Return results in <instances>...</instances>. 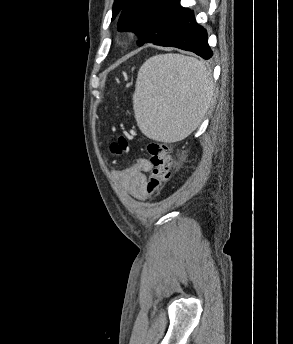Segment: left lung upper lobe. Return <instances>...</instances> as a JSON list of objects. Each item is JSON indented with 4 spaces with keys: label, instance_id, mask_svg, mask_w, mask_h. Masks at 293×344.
<instances>
[{
    "label": "left lung upper lobe",
    "instance_id": "obj_1",
    "mask_svg": "<svg viewBox=\"0 0 293 344\" xmlns=\"http://www.w3.org/2000/svg\"><path fill=\"white\" fill-rule=\"evenodd\" d=\"M112 10V20L120 15L118 30L135 32L139 45L169 38L189 11L180 0H115Z\"/></svg>",
    "mask_w": 293,
    "mask_h": 344
}]
</instances>
